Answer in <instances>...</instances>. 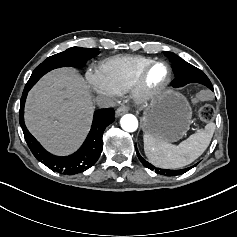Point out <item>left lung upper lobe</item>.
<instances>
[{
  "label": "left lung upper lobe",
  "instance_id": "5c2ea615",
  "mask_svg": "<svg viewBox=\"0 0 237 237\" xmlns=\"http://www.w3.org/2000/svg\"><path fill=\"white\" fill-rule=\"evenodd\" d=\"M165 54L169 57V59L173 63L172 67L176 75L175 80L171 83L173 87H183L189 83H200L207 86L209 89L213 88L208 77L200 69L187 63L186 61H184L183 59H181L179 56H177L176 54L172 52H165ZM136 152L140 161L143 163V165L149 168L150 170H155V172L158 174H162L165 176H176V175L183 174L184 172L192 168V167H189V168L181 169V170H168V169L156 168L152 164L146 162L140 156V154L137 151V148H136Z\"/></svg>",
  "mask_w": 237,
  "mask_h": 237
}]
</instances>
